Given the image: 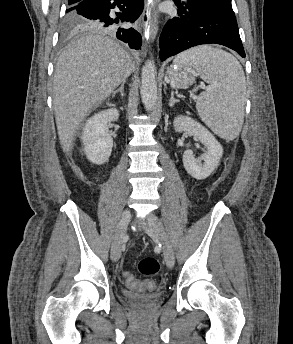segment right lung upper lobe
I'll return each instance as SVG.
<instances>
[{"instance_id":"obj_1","label":"right lung upper lobe","mask_w":293,"mask_h":344,"mask_svg":"<svg viewBox=\"0 0 293 344\" xmlns=\"http://www.w3.org/2000/svg\"><path fill=\"white\" fill-rule=\"evenodd\" d=\"M81 0H69V5H75L77 2H79Z\"/></svg>"}]
</instances>
